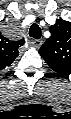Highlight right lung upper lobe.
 I'll return each mask as SVG.
<instances>
[{
    "label": "right lung upper lobe",
    "instance_id": "1",
    "mask_svg": "<svg viewBox=\"0 0 71 119\" xmlns=\"http://www.w3.org/2000/svg\"><path fill=\"white\" fill-rule=\"evenodd\" d=\"M24 39L11 41L5 37L0 39V70L9 66L19 55L18 48L24 45Z\"/></svg>",
    "mask_w": 71,
    "mask_h": 119
}]
</instances>
